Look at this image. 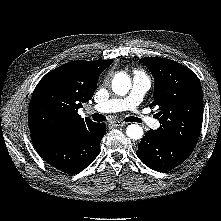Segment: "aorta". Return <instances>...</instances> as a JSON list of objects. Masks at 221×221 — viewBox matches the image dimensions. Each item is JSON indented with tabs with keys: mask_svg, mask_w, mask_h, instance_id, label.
I'll list each match as a JSON object with an SVG mask.
<instances>
[{
	"mask_svg": "<svg viewBox=\"0 0 221 221\" xmlns=\"http://www.w3.org/2000/svg\"><path fill=\"white\" fill-rule=\"evenodd\" d=\"M131 89V79L125 73H117L112 81V90L115 94L124 96ZM126 134L133 140H139L143 136V129L138 124H131L126 129Z\"/></svg>",
	"mask_w": 221,
	"mask_h": 221,
	"instance_id": "762f6f07",
	"label": "aorta"
}]
</instances>
